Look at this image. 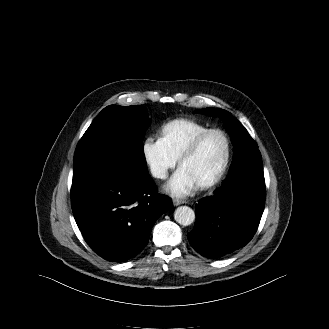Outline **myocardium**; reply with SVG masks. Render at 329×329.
I'll return each mask as SVG.
<instances>
[{
	"label": "myocardium",
	"instance_id": "1",
	"mask_svg": "<svg viewBox=\"0 0 329 329\" xmlns=\"http://www.w3.org/2000/svg\"><path fill=\"white\" fill-rule=\"evenodd\" d=\"M210 134H219L223 137V139L225 141V157H224L221 167L216 172V174L214 176H212L210 179L198 184L199 188H201V189H206V188L212 187L215 184H217L223 178V176L225 175V173L229 167L231 157H232V143H231V140H230V137L228 136V134L225 131L218 129V128L207 129V130L203 131L202 133L198 134L187 145V147L183 150V152L181 153V155L178 158V165L181 166V164L186 159L190 158L191 156H193L196 153L201 142Z\"/></svg>",
	"mask_w": 329,
	"mask_h": 329
}]
</instances>
